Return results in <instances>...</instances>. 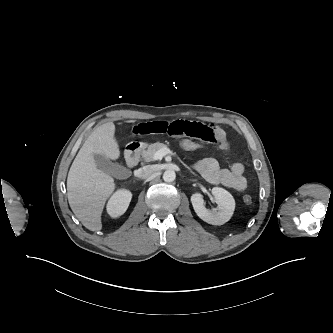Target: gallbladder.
<instances>
[{"label": "gallbladder", "instance_id": "bac80fb5", "mask_svg": "<svg viewBox=\"0 0 333 333\" xmlns=\"http://www.w3.org/2000/svg\"><path fill=\"white\" fill-rule=\"evenodd\" d=\"M94 160L98 169L114 177H118L125 169L123 166L112 162L109 158L101 154H94Z\"/></svg>", "mask_w": 333, "mask_h": 333}]
</instances>
